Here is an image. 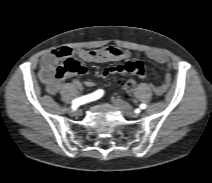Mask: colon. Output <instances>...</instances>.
I'll use <instances>...</instances> for the list:
<instances>
[{"mask_svg":"<svg viewBox=\"0 0 212 183\" xmlns=\"http://www.w3.org/2000/svg\"><path fill=\"white\" fill-rule=\"evenodd\" d=\"M58 56L64 59V61L54 69L53 76L56 80H61L69 74L85 73V68L78 61L71 57H65L63 53H59ZM135 85L136 82L130 79L124 84V89L126 92L131 93Z\"/></svg>","mask_w":212,"mask_h":183,"instance_id":"5ec220e1","label":"colon"}]
</instances>
